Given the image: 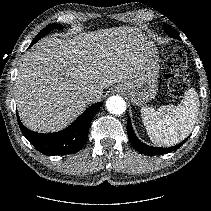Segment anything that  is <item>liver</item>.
<instances>
[{
	"label": "liver",
	"instance_id": "6515ba94",
	"mask_svg": "<svg viewBox=\"0 0 211 211\" xmlns=\"http://www.w3.org/2000/svg\"><path fill=\"white\" fill-rule=\"evenodd\" d=\"M148 46L141 33L125 26L43 38L18 69L14 89L20 119L36 132L66 128L88 106L87 92L101 98L103 89L135 77Z\"/></svg>",
	"mask_w": 211,
	"mask_h": 211
}]
</instances>
